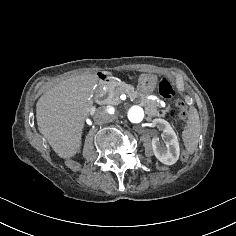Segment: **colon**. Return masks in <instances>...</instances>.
I'll list each match as a JSON object with an SVG mask.
<instances>
[{
  "instance_id": "obj_1",
  "label": "colon",
  "mask_w": 236,
  "mask_h": 236,
  "mask_svg": "<svg viewBox=\"0 0 236 236\" xmlns=\"http://www.w3.org/2000/svg\"><path fill=\"white\" fill-rule=\"evenodd\" d=\"M159 93L165 99L172 100L175 97V89L170 78L165 77L159 84ZM186 114V106L181 101H176L174 108L171 111L170 118L172 121H178Z\"/></svg>"
}]
</instances>
